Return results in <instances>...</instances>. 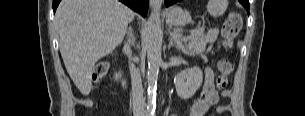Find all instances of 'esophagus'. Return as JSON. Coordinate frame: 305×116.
<instances>
[{"instance_id":"34e87169","label":"esophagus","mask_w":305,"mask_h":116,"mask_svg":"<svg viewBox=\"0 0 305 116\" xmlns=\"http://www.w3.org/2000/svg\"><path fill=\"white\" fill-rule=\"evenodd\" d=\"M161 4V1L160 0H150V6L152 8H157L159 7Z\"/></svg>"}]
</instances>
